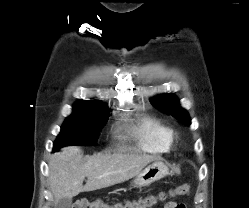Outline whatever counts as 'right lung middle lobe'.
<instances>
[{"mask_svg":"<svg viewBox=\"0 0 249 208\" xmlns=\"http://www.w3.org/2000/svg\"><path fill=\"white\" fill-rule=\"evenodd\" d=\"M108 112L74 109L61 127L53 151L67 145L89 146L96 143L101 128L106 124Z\"/></svg>","mask_w":249,"mask_h":208,"instance_id":"right-lung-middle-lobe-1","label":"right lung middle lobe"}]
</instances>
